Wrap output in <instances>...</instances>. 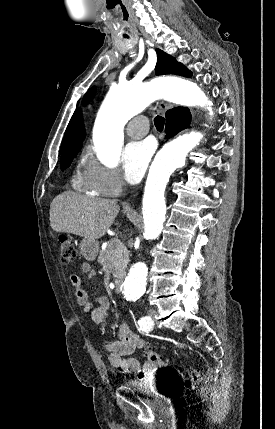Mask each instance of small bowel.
<instances>
[{"instance_id": "c3829d8e", "label": "small bowel", "mask_w": 275, "mask_h": 429, "mask_svg": "<svg viewBox=\"0 0 275 429\" xmlns=\"http://www.w3.org/2000/svg\"><path fill=\"white\" fill-rule=\"evenodd\" d=\"M79 271L82 273L93 274L89 263L82 262L79 265ZM70 283L74 288L76 303L81 307L82 311L89 313L91 320L97 324H102L109 312V300L105 296L96 298V304L92 305L88 301V296L81 285V278L78 274H72L69 278ZM146 342L137 334H135L126 323H122L118 329V340L108 342L106 344L107 361L114 368L123 373L131 371H140L150 369L151 364H142L132 355L136 350L145 349Z\"/></svg>"}]
</instances>
